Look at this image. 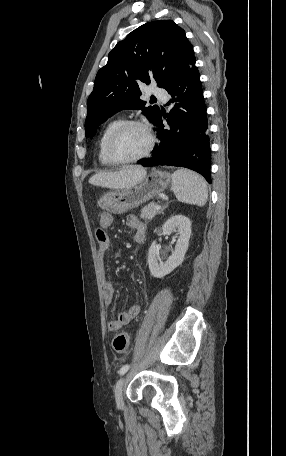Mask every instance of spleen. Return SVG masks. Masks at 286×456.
I'll use <instances>...</instances> for the list:
<instances>
[{"instance_id": "obj_1", "label": "spleen", "mask_w": 286, "mask_h": 456, "mask_svg": "<svg viewBox=\"0 0 286 456\" xmlns=\"http://www.w3.org/2000/svg\"><path fill=\"white\" fill-rule=\"evenodd\" d=\"M171 190L178 201L187 204L204 206L208 199L205 180L188 169H178L173 173Z\"/></svg>"}]
</instances>
